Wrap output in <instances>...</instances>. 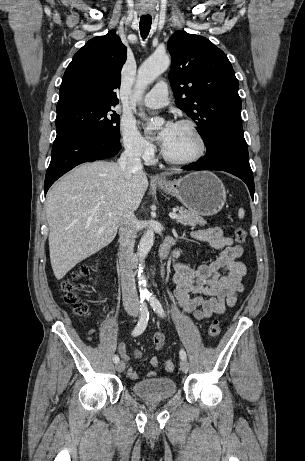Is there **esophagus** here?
Returning <instances> with one entry per match:
<instances>
[{
    "label": "esophagus",
    "mask_w": 305,
    "mask_h": 461,
    "mask_svg": "<svg viewBox=\"0 0 305 461\" xmlns=\"http://www.w3.org/2000/svg\"><path fill=\"white\" fill-rule=\"evenodd\" d=\"M153 179H154L155 181H162V180H164L163 176L158 175V174L155 175V176L153 177Z\"/></svg>",
    "instance_id": "1"
}]
</instances>
